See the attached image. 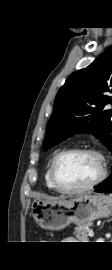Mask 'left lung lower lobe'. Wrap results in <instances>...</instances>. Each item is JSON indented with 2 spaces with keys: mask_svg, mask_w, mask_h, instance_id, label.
<instances>
[{
  "mask_svg": "<svg viewBox=\"0 0 112 270\" xmlns=\"http://www.w3.org/2000/svg\"><path fill=\"white\" fill-rule=\"evenodd\" d=\"M95 192L104 193L109 192L112 193V173L111 175L101 184L95 187Z\"/></svg>",
  "mask_w": 112,
  "mask_h": 270,
  "instance_id": "0a47b994",
  "label": "left lung lower lobe"
}]
</instances>
